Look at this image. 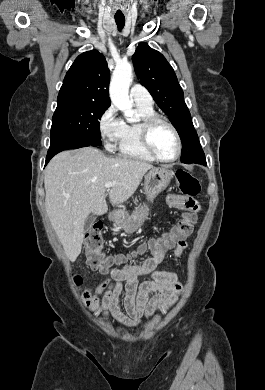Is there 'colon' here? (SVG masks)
<instances>
[{
  "instance_id": "obj_1",
  "label": "colon",
  "mask_w": 265,
  "mask_h": 390,
  "mask_svg": "<svg viewBox=\"0 0 265 390\" xmlns=\"http://www.w3.org/2000/svg\"><path fill=\"white\" fill-rule=\"evenodd\" d=\"M176 180L181 192L188 197L197 196L200 193L201 187L198 179L191 173L185 170H179L176 174ZM196 221V212H185L176 225V230L173 233V239L180 240L186 238L192 231ZM102 225L94 224L89 230L85 248L88 264L93 269H98L102 273H107L110 268V260L103 253ZM75 282L81 283L80 277L75 278Z\"/></svg>"
}]
</instances>
